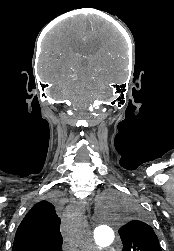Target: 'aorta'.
I'll return each mask as SVG.
<instances>
[{
	"label": "aorta",
	"mask_w": 174,
	"mask_h": 251,
	"mask_svg": "<svg viewBox=\"0 0 174 251\" xmlns=\"http://www.w3.org/2000/svg\"><path fill=\"white\" fill-rule=\"evenodd\" d=\"M113 208L108 201L100 206L99 215L95 221L94 240L100 248H106L114 240V222Z\"/></svg>",
	"instance_id": "762f6f07"
}]
</instances>
